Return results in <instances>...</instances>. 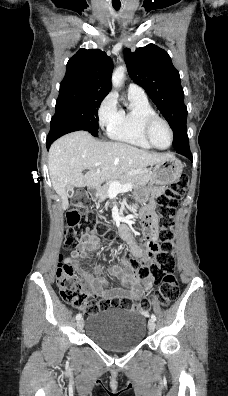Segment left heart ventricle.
Wrapping results in <instances>:
<instances>
[{
    "mask_svg": "<svg viewBox=\"0 0 228 396\" xmlns=\"http://www.w3.org/2000/svg\"><path fill=\"white\" fill-rule=\"evenodd\" d=\"M153 142L161 148L167 147L170 143V134L167 127L162 122H156L151 130Z\"/></svg>",
    "mask_w": 228,
    "mask_h": 396,
    "instance_id": "b2bd125f",
    "label": "left heart ventricle"
}]
</instances>
